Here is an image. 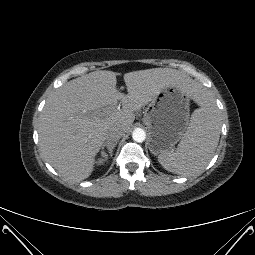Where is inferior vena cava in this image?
<instances>
[{"label":"inferior vena cava","mask_w":255,"mask_h":255,"mask_svg":"<svg viewBox=\"0 0 255 255\" xmlns=\"http://www.w3.org/2000/svg\"><path fill=\"white\" fill-rule=\"evenodd\" d=\"M124 135V131L120 127H110L106 134V141L105 145L110 146L117 141Z\"/></svg>","instance_id":"1"}]
</instances>
